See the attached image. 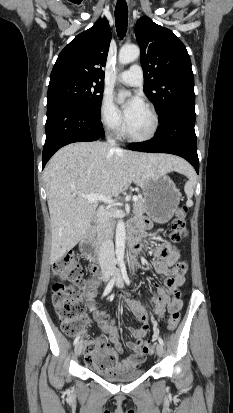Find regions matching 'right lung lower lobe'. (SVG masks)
I'll use <instances>...</instances> for the list:
<instances>
[{"label": "right lung lower lobe", "mask_w": 233, "mask_h": 413, "mask_svg": "<svg viewBox=\"0 0 233 413\" xmlns=\"http://www.w3.org/2000/svg\"><path fill=\"white\" fill-rule=\"evenodd\" d=\"M102 136L104 130L100 115H93L69 103L48 105L42 169L61 147L74 142L95 141Z\"/></svg>", "instance_id": "98d812e1"}]
</instances>
